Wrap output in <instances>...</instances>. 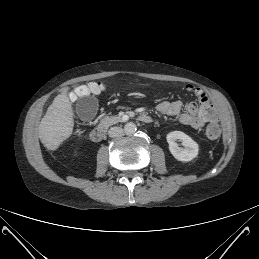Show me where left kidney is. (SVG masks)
Here are the masks:
<instances>
[{"label":"left kidney","mask_w":259,"mask_h":259,"mask_svg":"<svg viewBox=\"0 0 259 259\" xmlns=\"http://www.w3.org/2000/svg\"><path fill=\"white\" fill-rule=\"evenodd\" d=\"M169 151L175 159L181 162H189L198 155V144L187 134L181 131H173L167 134ZM177 140L182 142L184 148L179 147Z\"/></svg>","instance_id":"5707ae66"}]
</instances>
